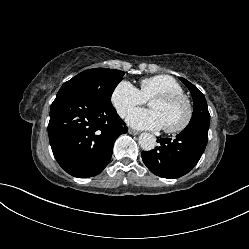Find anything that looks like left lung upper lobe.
<instances>
[{"mask_svg": "<svg viewBox=\"0 0 249 249\" xmlns=\"http://www.w3.org/2000/svg\"><path fill=\"white\" fill-rule=\"evenodd\" d=\"M179 79L188 87L193 97L194 110L191 120H195L200 117L210 118V114L207 108V102L204 95L186 79L182 77H180Z\"/></svg>", "mask_w": 249, "mask_h": 249, "instance_id": "5c2ea615", "label": "left lung upper lobe"}]
</instances>
